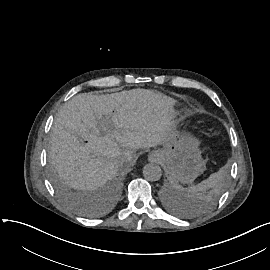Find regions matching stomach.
Wrapping results in <instances>:
<instances>
[{
  "label": "stomach",
  "instance_id": "stomach-1",
  "mask_svg": "<svg viewBox=\"0 0 270 270\" xmlns=\"http://www.w3.org/2000/svg\"><path fill=\"white\" fill-rule=\"evenodd\" d=\"M199 141L191 134L175 133L163 147L149 156V161L165 163L171 180L192 183L205 170V161L197 147Z\"/></svg>",
  "mask_w": 270,
  "mask_h": 270
}]
</instances>
